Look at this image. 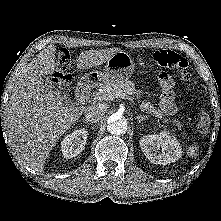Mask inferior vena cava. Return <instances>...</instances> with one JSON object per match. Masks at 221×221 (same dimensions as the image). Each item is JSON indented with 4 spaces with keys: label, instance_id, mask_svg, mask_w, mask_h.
Listing matches in <instances>:
<instances>
[{
    "label": "inferior vena cava",
    "instance_id": "obj_1",
    "mask_svg": "<svg viewBox=\"0 0 221 221\" xmlns=\"http://www.w3.org/2000/svg\"><path fill=\"white\" fill-rule=\"evenodd\" d=\"M106 106L104 104H94L88 106L85 110V119L91 123L99 122L104 116Z\"/></svg>",
    "mask_w": 221,
    "mask_h": 221
}]
</instances>
